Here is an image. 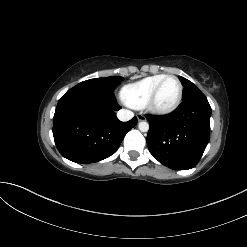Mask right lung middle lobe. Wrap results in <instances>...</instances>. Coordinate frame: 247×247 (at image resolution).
Wrapping results in <instances>:
<instances>
[{"mask_svg":"<svg viewBox=\"0 0 247 247\" xmlns=\"http://www.w3.org/2000/svg\"><path fill=\"white\" fill-rule=\"evenodd\" d=\"M123 80L122 77L119 76H112V77H105V78H95L83 81L76 85L77 87H95L113 91L115 87L121 83Z\"/></svg>","mask_w":247,"mask_h":247,"instance_id":"obj_1","label":"right lung middle lobe"}]
</instances>
